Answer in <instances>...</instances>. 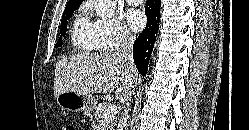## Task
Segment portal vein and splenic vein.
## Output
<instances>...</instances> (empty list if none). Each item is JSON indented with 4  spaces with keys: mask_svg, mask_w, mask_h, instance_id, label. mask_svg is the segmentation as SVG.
<instances>
[{
    "mask_svg": "<svg viewBox=\"0 0 249 130\" xmlns=\"http://www.w3.org/2000/svg\"><path fill=\"white\" fill-rule=\"evenodd\" d=\"M117 107L115 105L109 107L108 110H106L102 117L104 118V120H109L115 117V115L117 114Z\"/></svg>",
    "mask_w": 249,
    "mask_h": 130,
    "instance_id": "18ae733b",
    "label": "portal vein and splenic vein"
}]
</instances>
